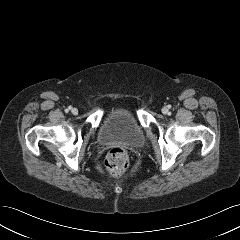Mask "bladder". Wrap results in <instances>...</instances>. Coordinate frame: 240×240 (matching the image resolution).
Wrapping results in <instances>:
<instances>
[{
    "label": "bladder",
    "instance_id": "obj_1",
    "mask_svg": "<svg viewBox=\"0 0 240 240\" xmlns=\"http://www.w3.org/2000/svg\"><path fill=\"white\" fill-rule=\"evenodd\" d=\"M104 143L120 142L129 146L140 145L145 138L144 131L131 112L125 109L113 110L99 131Z\"/></svg>",
    "mask_w": 240,
    "mask_h": 240
}]
</instances>
